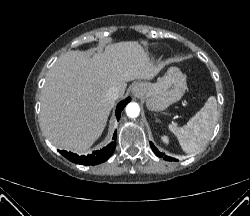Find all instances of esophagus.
<instances>
[{"label":"esophagus","mask_w":250,"mask_h":216,"mask_svg":"<svg viewBox=\"0 0 250 216\" xmlns=\"http://www.w3.org/2000/svg\"><path fill=\"white\" fill-rule=\"evenodd\" d=\"M138 92H139V88L137 86H135L134 89H133V93L137 94Z\"/></svg>","instance_id":"esophagus-1"}]
</instances>
